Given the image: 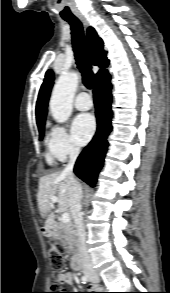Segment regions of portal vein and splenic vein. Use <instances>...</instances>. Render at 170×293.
Wrapping results in <instances>:
<instances>
[{
    "instance_id": "portal-vein-and-splenic-vein-1",
    "label": "portal vein and splenic vein",
    "mask_w": 170,
    "mask_h": 293,
    "mask_svg": "<svg viewBox=\"0 0 170 293\" xmlns=\"http://www.w3.org/2000/svg\"><path fill=\"white\" fill-rule=\"evenodd\" d=\"M57 201H58L57 197H52L51 198L52 204L56 203ZM61 221L63 223H69L70 222V215L68 213H63L62 216H61Z\"/></svg>"
}]
</instances>
